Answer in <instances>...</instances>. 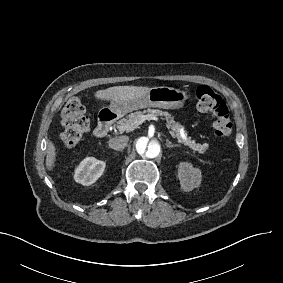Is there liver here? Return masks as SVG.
<instances>
[{"mask_svg":"<svg viewBox=\"0 0 283 283\" xmlns=\"http://www.w3.org/2000/svg\"><path fill=\"white\" fill-rule=\"evenodd\" d=\"M150 89L149 86H113L95 91L93 99L100 105L113 101L125 102L143 98ZM46 154V171L51 173L56 168L57 163V146L52 140L47 142Z\"/></svg>","mask_w":283,"mask_h":283,"instance_id":"6515ba94","label":"liver"}]
</instances>
